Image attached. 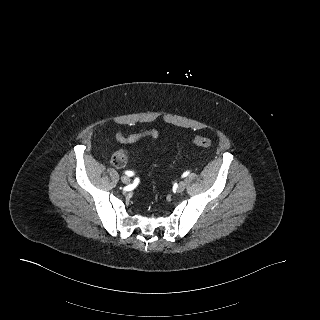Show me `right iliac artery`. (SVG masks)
Returning a JSON list of instances; mask_svg holds the SVG:
<instances>
[{"mask_svg": "<svg viewBox=\"0 0 320 320\" xmlns=\"http://www.w3.org/2000/svg\"><path fill=\"white\" fill-rule=\"evenodd\" d=\"M125 174L128 175V176H132V175H133V172H131V171H126Z\"/></svg>", "mask_w": 320, "mask_h": 320, "instance_id": "right-iliac-artery-1", "label": "right iliac artery"}]
</instances>
